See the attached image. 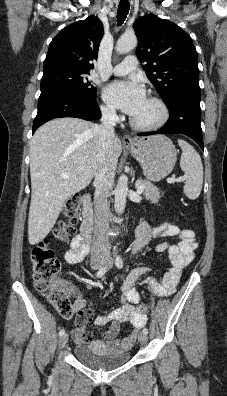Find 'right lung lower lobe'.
I'll return each mask as SVG.
<instances>
[{
	"label": "right lung lower lobe",
	"instance_id": "right-lung-lower-lobe-1",
	"mask_svg": "<svg viewBox=\"0 0 227 396\" xmlns=\"http://www.w3.org/2000/svg\"><path fill=\"white\" fill-rule=\"evenodd\" d=\"M60 117H76L84 120L100 118L95 100L86 99L68 92L55 91L41 94L38 112L33 122V133L45 122Z\"/></svg>",
	"mask_w": 227,
	"mask_h": 396
}]
</instances>
